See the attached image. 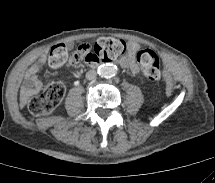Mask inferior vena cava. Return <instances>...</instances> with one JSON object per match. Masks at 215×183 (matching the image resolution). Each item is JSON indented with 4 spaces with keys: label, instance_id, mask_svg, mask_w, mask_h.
<instances>
[{
    "label": "inferior vena cava",
    "instance_id": "inferior-vena-cava-1",
    "mask_svg": "<svg viewBox=\"0 0 215 183\" xmlns=\"http://www.w3.org/2000/svg\"><path fill=\"white\" fill-rule=\"evenodd\" d=\"M96 76H97V73L94 70H90L86 73V78L88 80H94V79H96Z\"/></svg>",
    "mask_w": 215,
    "mask_h": 183
}]
</instances>
